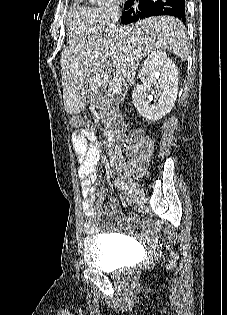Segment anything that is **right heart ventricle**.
I'll return each instance as SVG.
<instances>
[{
	"mask_svg": "<svg viewBox=\"0 0 227 315\" xmlns=\"http://www.w3.org/2000/svg\"><path fill=\"white\" fill-rule=\"evenodd\" d=\"M65 20L71 43L83 42L100 30L93 8L83 4L82 0H73L67 10Z\"/></svg>",
	"mask_w": 227,
	"mask_h": 315,
	"instance_id": "obj_1",
	"label": "right heart ventricle"
}]
</instances>
